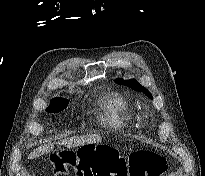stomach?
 <instances>
[{
    "instance_id": "obj_1",
    "label": "stomach",
    "mask_w": 205,
    "mask_h": 176,
    "mask_svg": "<svg viewBox=\"0 0 205 176\" xmlns=\"http://www.w3.org/2000/svg\"><path fill=\"white\" fill-rule=\"evenodd\" d=\"M93 145V146H91ZM99 146H102V145H98V144H86V145H83L81 147V149H83L84 151L85 150H91V149H94L96 151V149L100 148Z\"/></svg>"
}]
</instances>
